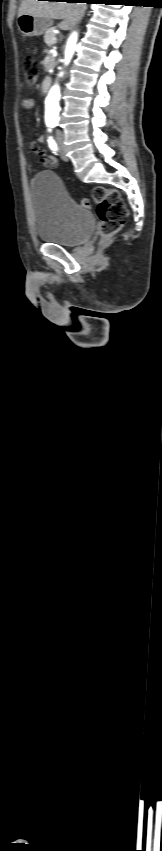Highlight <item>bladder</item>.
Wrapping results in <instances>:
<instances>
[{
  "instance_id": "bladder-1",
  "label": "bladder",
  "mask_w": 162,
  "mask_h": 851,
  "mask_svg": "<svg viewBox=\"0 0 162 851\" xmlns=\"http://www.w3.org/2000/svg\"><path fill=\"white\" fill-rule=\"evenodd\" d=\"M36 232L47 243L73 247L85 242L95 227L94 214L68 194L54 172L38 173L30 185Z\"/></svg>"
}]
</instances>
